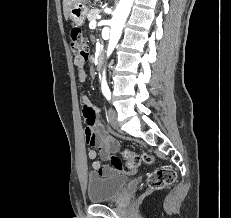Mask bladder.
<instances>
[{
    "label": "bladder",
    "mask_w": 231,
    "mask_h": 218,
    "mask_svg": "<svg viewBox=\"0 0 231 218\" xmlns=\"http://www.w3.org/2000/svg\"><path fill=\"white\" fill-rule=\"evenodd\" d=\"M128 183L125 176H100L90 174L87 195L91 203H102L115 199Z\"/></svg>",
    "instance_id": "obj_1"
}]
</instances>
